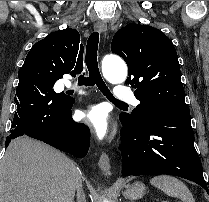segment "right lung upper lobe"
<instances>
[{
  "mask_svg": "<svg viewBox=\"0 0 209 202\" xmlns=\"http://www.w3.org/2000/svg\"><path fill=\"white\" fill-rule=\"evenodd\" d=\"M79 42V33L72 28L50 33L32 46L18 76L26 79L42 75L56 81L64 74H80L83 70V46L80 45L79 49Z\"/></svg>",
  "mask_w": 209,
  "mask_h": 202,
  "instance_id": "obj_1",
  "label": "right lung upper lobe"
}]
</instances>
